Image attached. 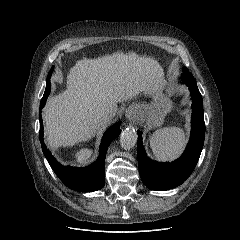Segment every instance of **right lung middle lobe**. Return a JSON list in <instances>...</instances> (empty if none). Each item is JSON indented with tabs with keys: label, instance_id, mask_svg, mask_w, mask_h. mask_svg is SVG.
<instances>
[{
	"label": "right lung middle lobe",
	"instance_id": "1",
	"mask_svg": "<svg viewBox=\"0 0 240 240\" xmlns=\"http://www.w3.org/2000/svg\"><path fill=\"white\" fill-rule=\"evenodd\" d=\"M52 71H53V68H52L51 71L48 73L47 83H46V89H45L43 98H42L41 100L47 99V97H48L49 94H50V90H51L50 77H51V75H52Z\"/></svg>",
	"mask_w": 240,
	"mask_h": 240
}]
</instances>
